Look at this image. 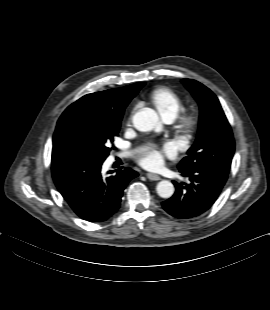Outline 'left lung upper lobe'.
I'll return each mask as SVG.
<instances>
[{
  "mask_svg": "<svg viewBox=\"0 0 270 310\" xmlns=\"http://www.w3.org/2000/svg\"><path fill=\"white\" fill-rule=\"evenodd\" d=\"M182 82L197 100L200 117L197 139L178 168L201 167L228 175L235 143L219 100L210 89L195 80L183 79Z\"/></svg>",
  "mask_w": 270,
  "mask_h": 310,
  "instance_id": "left-lung-upper-lobe-1",
  "label": "left lung upper lobe"
}]
</instances>
